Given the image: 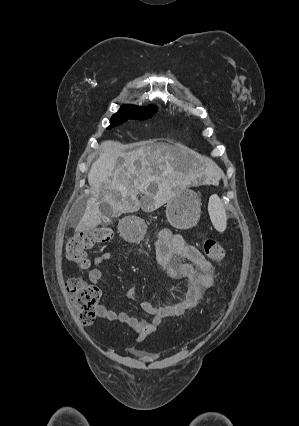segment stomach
I'll list each match as a JSON object with an SVG mask.
<instances>
[{"mask_svg":"<svg viewBox=\"0 0 299 426\" xmlns=\"http://www.w3.org/2000/svg\"><path fill=\"white\" fill-rule=\"evenodd\" d=\"M201 214V202L198 194L185 188L175 192L167 202L166 217L170 225L177 229L194 227ZM146 232V225L139 218H129L125 222L123 234L129 241H140Z\"/></svg>","mask_w":299,"mask_h":426,"instance_id":"0dacf381","label":"stomach"}]
</instances>
